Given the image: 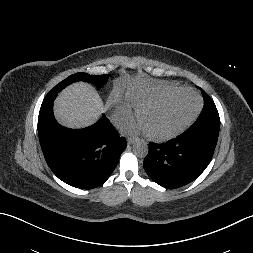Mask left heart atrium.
<instances>
[{
  "instance_id": "left-heart-atrium-1",
  "label": "left heart atrium",
  "mask_w": 253,
  "mask_h": 253,
  "mask_svg": "<svg viewBox=\"0 0 253 253\" xmlns=\"http://www.w3.org/2000/svg\"><path fill=\"white\" fill-rule=\"evenodd\" d=\"M127 128L131 132H146V133H148L146 126L143 124V122L141 120L136 124L128 125Z\"/></svg>"
}]
</instances>
